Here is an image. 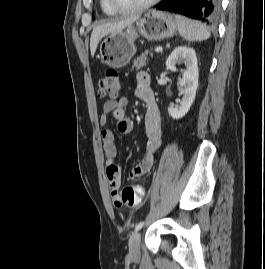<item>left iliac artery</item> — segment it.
<instances>
[{
  "label": "left iliac artery",
  "instance_id": "obj_1",
  "mask_svg": "<svg viewBox=\"0 0 265 269\" xmlns=\"http://www.w3.org/2000/svg\"><path fill=\"white\" fill-rule=\"evenodd\" d=\"M144 225V222H139L136 226H135V231H138L142 228V226Z\"/></svg>",
  "mask_w": 265,
  "mask_h": 269
}]
</instances>
